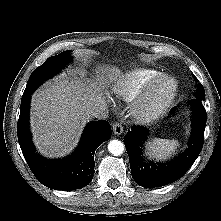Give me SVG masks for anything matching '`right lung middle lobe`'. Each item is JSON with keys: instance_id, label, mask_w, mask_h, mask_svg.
Instances as JSON below:
<instances>
[{"instance_id": "1", "label": "right lung middle lobe", "mask_w": 221, "mask_h": 221, "mask_svg": "<svg viewBox=\"0 0 221 221\" xmlns=\"http://www.w3.org/2000/svg\"><path fill=\"white\" fill-rule=\"evenodd\" d=\"M68 51L49 57L44 64L30 75L22 97L30 95L43 81L57 74L64 65L71 61Z\"/></svg>"}]
</instances>
